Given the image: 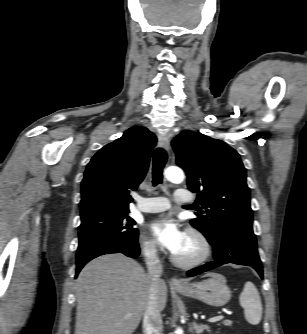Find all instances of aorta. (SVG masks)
<instances>
[{
    "label": "aorta",
    "instance_id": "762f6f07",
    "mask_svg": "<svg viewBox=\"0 0 307 334\" xmlns=\"http://www.w3.org/2000/svg\"><path fill=\"white\" fill-rule=\"evenodd\" d=\"M165 177L172 183H181L184 180V173L178 167H169L164 172ZM173 334H183L181 328H177Z\"/></svg>",
    "mask_w": 307,
    "mask_h": 334
}]
</instances>
